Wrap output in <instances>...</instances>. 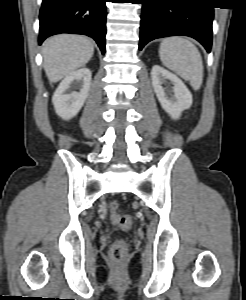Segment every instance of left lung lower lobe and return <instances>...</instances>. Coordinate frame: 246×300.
I'll list each match as a JSON object with an SVG mask.
<instances>
[{
  "label": "left lung lower lobe",
  "mask_w": 246,
  "mask_h": 300,
  "mask_svg": "<svg viewBox=\"0 0 246 300\" xmlns=\"http://www.w3.org/2000/svg\"><path fill=\"white\" fill-rule=\"evenodd\" d=\"M139 50L149 41L175 35L189 36L210 52L213 7L209 0H141Z\"/></svg>",
  "instance_id": "left-lung-lower-lobe-1"
}]
</instances>
